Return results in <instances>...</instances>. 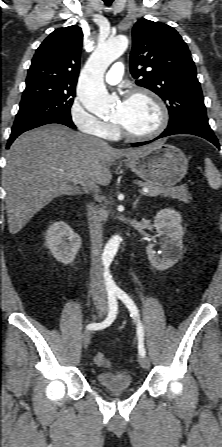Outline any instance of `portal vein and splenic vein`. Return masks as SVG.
<instances>
[{
    "label": "portal vein and splenic vein",
    "instance_id": "1",
    "mask_svg": "<svg viewBox=\"0 0 222 447\" xmlns=\"http://www.w3.org/2000/svg\"><path fill=\"white\" fill-rule=\"evenodd\" d=\"M141 192H143V193H148V192H149V189H148L147 187H144V188L141 190Z\"/></svg>",
    "mask_w": 222,
    "mask_h": 447
}]
</instances>
